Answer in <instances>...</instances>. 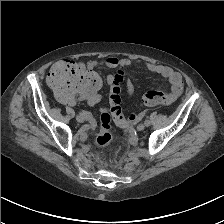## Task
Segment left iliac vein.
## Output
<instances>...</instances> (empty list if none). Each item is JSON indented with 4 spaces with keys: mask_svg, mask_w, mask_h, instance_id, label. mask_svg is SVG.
Wrapping results in <instances>:
<instances>
[{
    "mask_svg": "<svg viewBox=\"0 0 224 224\" xmlns=\"http://www.w3.org/2000/svg\"><path fill=\"white\" fill-rule=\"evenodd\" d=\"M145 129V125L143 123H140L138 126H137V130L138 131H143Z\"/></svg>",
    "mask_w": 224,
    "mask_h": 224,
    "instance_id": "obj_1",
    "label": "left iliac vein"
}]
</instances>
